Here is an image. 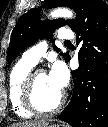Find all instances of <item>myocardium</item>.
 <instances>
[{
    "mask_svg": "<svg viewBox=\"0 0 108 127\" xmlns=\"http://www.w3.org/2000/svg\"><path fill=\"white\" fill-rule=\"evenodd\" d=\"M40 74H46V71L41 68L32 69L27 75L22 87V102L25 108L33 114L50 115L61 109L65 102L66 96L64 93H61L54 106L49 109L41 108L35 99V83L38 75Z\"/></svg>",
    "mask_w": 108,
    "mask_h": 127,
    "instance_id": "obj_1",
    "label": "myocardium"
}]
</instances>
